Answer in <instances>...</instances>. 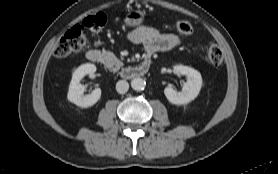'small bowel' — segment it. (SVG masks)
Listing matches in <instances>:
<instances>
[{
  "label": "small bowel",
  "instance_id": "small-bowel-1",
  "mask_svg": "<svg viewBox=\"0 0 278 174\" xmlns=\"http://www.w3.org/2000/svg\"><path fill=\"white\" fill-rule=\"evenodd\" d=\"M129 40L141 44L148 54L164 52L178 47L180 38L172 33H163L152 27H138L129 33Z\"/></svg>",
  "mask_w": 278,
  "mask_h": 174
}]
</instances>
